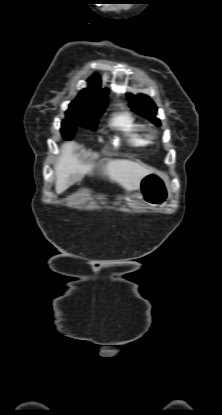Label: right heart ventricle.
Returning <instances> with one entry per match:
<instances>
[{
  "label": "right heart ventricle",
  "mask_w": 222,
  "mask_h": 415,
  "mask_svg": "<svg viewBox=\"0 0 222 415\" xmlns=\"http://www.w3.org/2000/svg\"><path fill=\"white\" fill-rule=\"evenodd\" d=\"M111 124L121 130L128 141L134 146H147L150 137L145 132V126L130 112H122L113 117Z\"/></svg>",
  "instance_id": "e07e8e85"
}]
</instances>
